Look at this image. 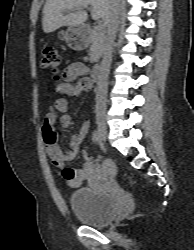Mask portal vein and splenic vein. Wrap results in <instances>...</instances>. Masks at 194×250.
<instances>
[{"instance_id": "1", "label": "portal vein and splenic vein", "mask_w": 194, "mask_h": 250, "mask_svg": "<svg viewBox=\"0 0 194 250\" xmlns=\"http://www.w3.org/2000/svg\"><path fill=\"white\" fill-rule=\"evenodd\" d=\"M96 28L101 29V28H103V26L101 24H99V25L96 26Z\"/></svg>"}]
</instances>
